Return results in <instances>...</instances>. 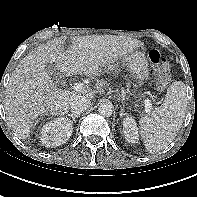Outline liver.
Wrapping results in <instances>:
<instances>
[{
  "label": "liver",
  "instance_id": "liver-1",
  "mask_svg": "<svg viewBox=\"0 0 197 197\" xmlns=\"http://www.w3.org/2000/svg\"><path fill=\"white\" fill-rule=\"evenodd\" d=\"M64 43L61 38L39 46L20 62L10 77L4 108L8 125L20 139L29 136L34 120L40 115L62 116L76 97L90 100L95 96L90 89L79 92L58 89L45 69L47 64H54L66 76L96 77L106 66L143 45L137 39L115 35L77 36L67 51Z\"/></svg>",
  "mask_w": 197,
  "mask_h": 197
}]
</instances>
